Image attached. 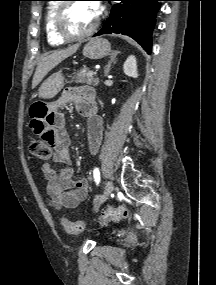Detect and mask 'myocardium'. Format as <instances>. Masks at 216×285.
Here are the masks:
<instances>
[{"mask_svg": "<svg viewBox=\"0 0 216 285\" xmlns=\"http://www.w3.org/2000/svg\"><path fill=\"white\" fill-rule=\"evenodd\" d=\"M75 2H63L60 4L55 18H54V29L58 37L65 41H78V40H83L89 36H91L98 28L100 24V17L97 15L96 21L94 24L91 26L90 29L87 31L80 33V34H73L71 33L66 24L67 20V14L70 9V7L74 4Z\"/></svg>", "mask_w": 216, "mask_h": 285, "instance_id": "myocardium-1", "label": "myocardium"}]
</instances>
